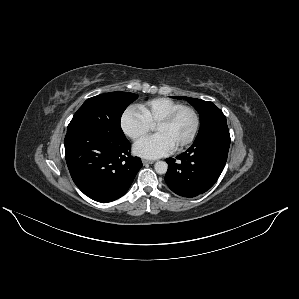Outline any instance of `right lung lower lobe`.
<instances>
[{"label": "right lung lower lobe", "instance_id": "right-lung-lower-lobe-1", "mask_svg": "<svg viewBox=\"0 0 299 299\" xmlns=\"http://www.w3.org/2000/svg\"><path fill=\"white\" fill-rule=\"evenodd\" d=\"M65 158L77 187L98 202L123 196L142 167L141 159L130 155L131 144L110 132L92 128L67 129Z\"/></svg>", "mask_w": 299, "mask_h": 299}]
</instances>
